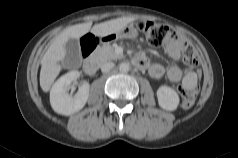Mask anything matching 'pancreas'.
Listing matches in <instances>:
<instances>
[{
  "label": "pancreas",
  "instance_id": "cf45deb5",
  "mask_svg": "<svg viewBox=\"0 0 238 158\" xmlns=\"http://www.w3.org/2000/svg\"><path fill=\"white\" fill-rule=\"evenodd\" d=\"M92 59L101 64L109 60L120 59L123 56L115 53L113 47L109 44L97 48L91 55Z\"/></svg>",
  "mask_w": 238,
  "mask_h": 158
}]
</instances>
